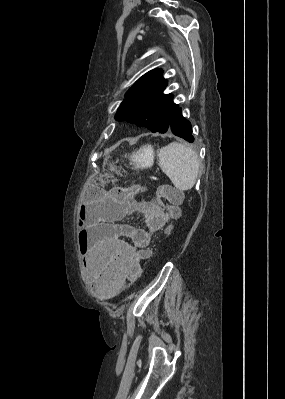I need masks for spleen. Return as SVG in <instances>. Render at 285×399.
Masks as SVG:
<instances>
[{
  "instance_id": "1",
  "label": "spleen",
  "mask_w": 285,
  "mask_h": 399,
  "mask_svg": "<svg viewBox=\"0 0 285 399\" xmlns=\"http://www.w3.org/2000/svg\"><path fill=\"white\" fill-rule=\"evenodd\" d=\"M158 158L161 169L177 189L186 191L195 185L200 162L191 147L172 142L160 149Z\"/></svg>"
}]
</instances>
